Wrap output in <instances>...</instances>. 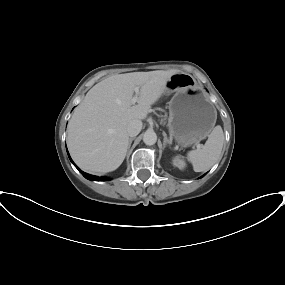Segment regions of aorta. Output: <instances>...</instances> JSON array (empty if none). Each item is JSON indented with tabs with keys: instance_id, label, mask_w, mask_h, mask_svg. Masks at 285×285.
Wrapping results in <instances>:
<instances>
[{
	"instance_id": "762f6f07",
	"label": "aorta",
	"mask_w": 285,
	"mask_h": 285,
	"mask_svg": "<svg viewBox=\"0 0 285 285\" xmlns=\"http://www.w3.org/2000/svg\"><path fill=\"white\" fill-rule=\"evenodd\" d=\"M157 141V135L154 131H146L143 136V142L146 145H153Z\"/></svg>"
}]
</instances>
